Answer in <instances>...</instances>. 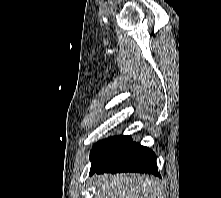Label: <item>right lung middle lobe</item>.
Here are the masks:
<instances>
[{"label":"right lung middle lobe","instance_id":"obj_1","mask_svg":"<svg viewBox=\"0 0 221 198\" xmlns=\"http://www.w3.org/2000/svg\"><path fill=\"white\" fill-rule=\"evenodd\" d=\"M132 139L130 136H114L103 141H99L93 146L90 154L92 161L91 171L99 168L105 164L109 159L114 157L125 146H127Z\"/></svg>","mask_w":221,"mask_h":198}]
</instances>
